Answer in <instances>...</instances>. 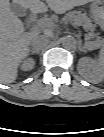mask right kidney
I'll return each instance as SVG.
<instances>
[{
	"label": "right kidney",
	"instance_id": "ca27d5eb",
	"mask_svg": "<svg viewBox=\"0 0 104 137\" xmlns=\"http://www.w3.org/2000/svg\"><path fill=\"white\" fill-rule=\"evenodd\" d=\"M34 66V61L32 59H27L26 61H24V63L22 64V69L23 70H30L32 69Z\"/></svg>",
	"mask_w": 104,
	"mask_h": 137
}]
</instances>
